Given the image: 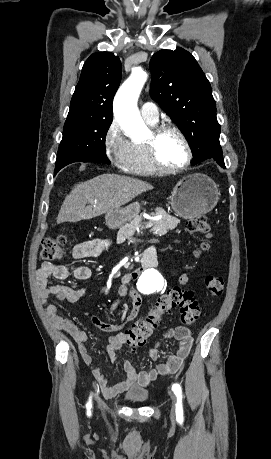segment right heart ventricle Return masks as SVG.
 Listing matches in <instances>:
<instances>
[{
  "mask_svg": "<svg viewBox=\"0 0 271 459\" xmlns=\"http://www.w3.org/2000/svg\"><path fill=\"white\" fill-rule=\"evenodd\" d=\"M123 168L127 172L138 175H148L157 171L156 166L152 162L145 141L129 142L128 154Z\"/></svg>",
  "mask_w": 271,
  "mask_h": 459,
  "instance_id": "right-heart-ventricle-1",
  "label": "right heart ventricle"
}]
</instances>
